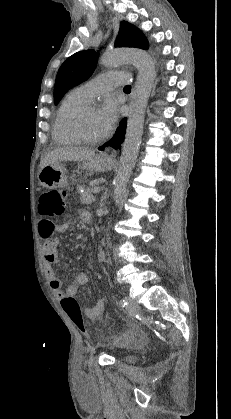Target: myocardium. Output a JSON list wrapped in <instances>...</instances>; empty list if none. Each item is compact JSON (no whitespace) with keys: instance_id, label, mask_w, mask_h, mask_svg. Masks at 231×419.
Segmentation results:
<instances>
[{"instance_id":"obj_1","label":"myocardium","mask_w":231,"mask_h":419,"mask_svg":"<svg viewBox=\"0 0 231 419\" xmlns=\"http://www.w3.org/2000/svg\"><path fill=\"white\" fill-rule=\"evenodd\" d=\"M91 106L86 105L79 109L69 120V128L71 132L82 142L88 143V144H96L101 141H103L107 137V133L98 136V137H92L89 136L84 129L83 122L84 118L89 111Z\"/></svg>"}]
</instances>
